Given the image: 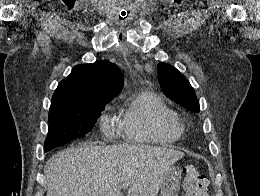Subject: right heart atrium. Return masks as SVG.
Segmentation results:
<instances>
[{"label": "right heart atrium", "mask_w": 260, "mask_h": 196, "mask_svg": "<svg viewBox=\"0 0 260 196\" xmlns=\"http://www.w3.org/2000/svg\"><path fill=\"white\" fill-rule=\"evenodd\" d=\"M100 128L101 131L109 135L110 132L115 129L114 120L107 114L103 113L100 117ZM149 190H127V192H148Z\"/></svg>", "instance_id": "1"}]
</instances>
